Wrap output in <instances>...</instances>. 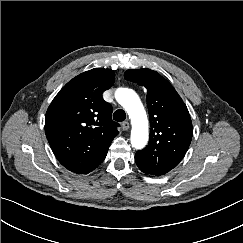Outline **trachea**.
Wrapping results in <instances>:
<instances>
[{"instance_id":"trachea-1","label":"trachea","mask_w":243,"mask_h":243,"mask_svg":"<svg viewBox=\"0 0 243 243\" xmlns=\"http://www.w3.org/2000/svg\"><path fill=\"white\" fill-rule=\"evenodd\" d=\"M125 118H126V113L122 109L116 110L113 114V119L117 122H122L125 120Z\"/></svg>"}]
</instances>
